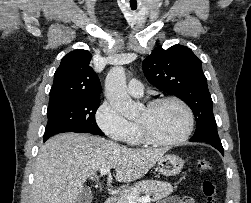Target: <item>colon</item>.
Instances as JSON below:
<instances>
[{"instance_id": "obj_1", "label": "colon", "mask_w": 251, "mask_h": 203, "mask_svg": "<svg viewBox=\"0 0 251 203\" xmlns=\"http://www.w3.org/2000/svg\"><path fill=\"white\" fill-rule=\"evenodd\" d=\"M197 168L201 172H211L213 169L212 163L207 159H199L197 161ZM201 191L205 197V203H218L217 199V185L211 179H205L201 184Z\"/></svg>"}]
</instances>
